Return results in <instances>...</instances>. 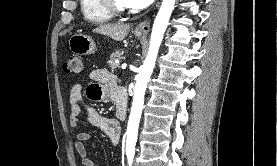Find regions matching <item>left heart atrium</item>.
I'll return each mask as SVG.
<instances>
[{
  "label": "left heart atrium",
  "instance_id": "left-heart-atrium-1",
  "mask_svg": "<svg viewBox=\"0 0 277 166\" xmlns=\"http://www.w3.org/2000/svg\"><path fill=\"white\" fill-rule=\"evenodd\" d=\"M123 2L129 8L142 9L149 6L153 0H123Z\"/></svg>",
  "mask_w": 277,
  "mask_h": 166
}]
</instances>
